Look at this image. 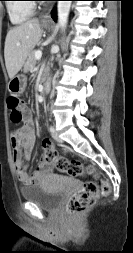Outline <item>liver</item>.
Returning <instances> with one entry per match:
<instances>
[{"mask_svg": "<svg viewBox=\"0 0 133 253\" xmlns=\"http://www.w3.org/2000/svg\"><path fill=\"white\" fill-rule=\"evenodd\" d=\"M41 36L38 19L26 21L9 30L5 40L4 58L10 79L20 71Z\"/></svg>", "mask_w": 133, "mask_h": 253, "instance_id": "6515ba94", "label": "liver"}]
</instances>
